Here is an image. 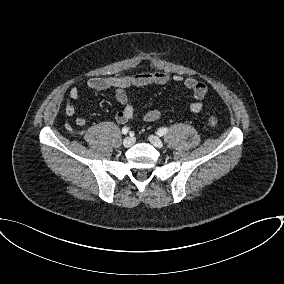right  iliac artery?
<instances>
[{"mask_svg":"<svg viewBox=\"0 0 284 284\" xmlns=\"http://www.w3.org/2000/svg\"><path fill=\"white\" fill-rule=\"evenodd\" d=\"M129 132V128L128 127H124L123 129H122V133L123 134H127Z\"/></svg>","mask_w":284,"mask_h":284,"instance_id":"82829eb1","label":"right iliac artery"}]
</instances>
